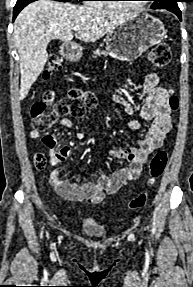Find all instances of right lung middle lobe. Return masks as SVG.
<instances>
[{"mask_svg":"<svg viewBox=\"0 0 193 287\" xmlns=\"http://www.w3.org/2000/svg\"><path fill=\"white\" fill-rule=\"evenodd\" d=\"M66 1H71V0H66ZM80 1H84V0H80Z\"/></svg>","mask_w":193,"mask_h":287,"instance_id":"1","label":"right lung middle lobe"}]
</instances>
